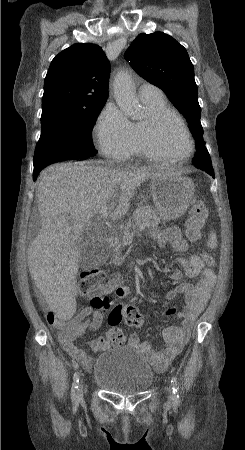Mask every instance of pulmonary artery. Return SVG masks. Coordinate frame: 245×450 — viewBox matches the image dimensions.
Here are the masks:
<instances>
[{
  "label": "pulmonary artery",
  "mask_w": 245,
  "mask_h": 450,
  "mask_svg": "<svg viewBox=\"0 0 245 450\" xmlns=\"http://www.w3.org/2000/svg\"><path fill=\"white\" fill-rule=\"evenodd\" d=\"M141 101L163 98L162 91L153 84L143 83L138 89Z\"/></svg>",
  "instance_id": "e3ab8cb5"
}]
</instances>
